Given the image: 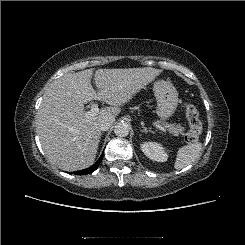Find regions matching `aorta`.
Returning <instances> with one entry per match:
<instances>
[{"instance_id":"aorta-1","label":"aorta","mask_w":245,"mask_h":245,"mask_svg":"<svg viewBox=\"0 0 245 245\" xmlns=\"http://www.w3.org/2000/svg\"><path fill=\"white\" fill-rule=\"evenodd\" d=\"M130 125L124 121L119 122L115 125L114 133L118 137H125L129 134Z\"/></svg>"}]
</instances>
